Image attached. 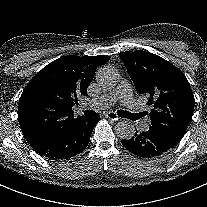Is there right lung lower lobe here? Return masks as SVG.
I'll return each instance as SVG.
<instances>
[{
  "mask_svg": "<svg viewBox=\"0 0 207 207\" xmlns=\"http://www.w3.org/2000/svg\"><path fill=\"white\" fill-rule=\"evenodd\" d=\"M99 120L98 117L78 116L55 137L33 149L51 161L69 159L86 148L93 128Z\"/></svg>",
  "mask_w": 207,
  "mask_h": 207,
  "instance_id": "obj_1",
  "label": "right lung lower lobe"
}]
</instances>
